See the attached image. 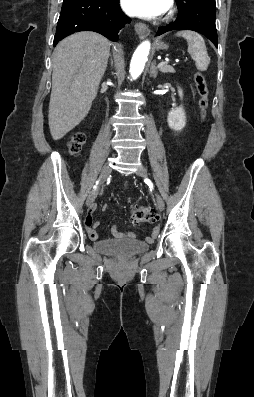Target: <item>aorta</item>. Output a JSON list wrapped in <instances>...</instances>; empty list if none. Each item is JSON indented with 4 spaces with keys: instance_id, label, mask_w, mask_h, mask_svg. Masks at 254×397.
<instances>
[{
    "instance_id": "obj_1",
    "label": "aorta",
    "mask_w": 254,
    "mask_h": 397,
    "mask_svg": "<svg viewBox=\"0 0 254 397\" xmlns=\"http://www.w3.org/2000/svg\"><path fill=\"white\" fill-rule=\"evenodd\" d=\"M149 51L150 42L144 41L138 46V48L134 52L130 64V74L132 78H136L142 73L145 63L147 61Z\"/></svg>"
}]
</instances>
